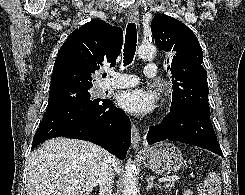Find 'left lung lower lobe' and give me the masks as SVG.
I'll return each instance as SVG.
<instances>
[{
  "instance_id": "left-lung-lower-lobe-1",
  "label": "left lung lower lobe",
  "mask_w": 245,
  "mask_h": 195,
  "mask_svg": "<svg viewBox=\"0 0 245 195\" xmlns=\"http://www.w3.org/2000/svg\"><path fill=\"white\" fill-rule=\"evenodd\" d=\"M146 140L148 144L179 141L223 156L211 124L210 111L197 107L170 110L160 125L148 131Z\"/></svg>"
}]
</instances>
